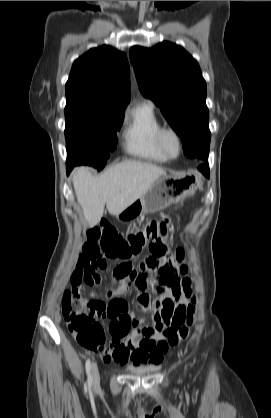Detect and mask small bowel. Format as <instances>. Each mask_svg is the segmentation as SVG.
I'll use <instances>...</instances> for the list:
<instances>
[{
    "mask_svg": "<svg viewBox=\"0 0 271 418\" xmlns=\"http://www.w3.org/2000/svg\"><path fill=\"white\" fill-rule=\"evenodd\" d=\"M148 256L130 263L119 261L113 267L112 289L104 299H83L81 307L90 314H98L97 322L105 323L110 343L96 351L105 363L131 362L135 366L159 365L168 347L159 348L164 341L161 330L165 327L162 312L188 306L190 281L179 282L176 277L177 261L167 253L166 245L153 241L147 247ZM105 267L96 265L98 270ZM156 282L158 294L151 302L148 287ZM129 283L137 290V300L142 311L155 313L152 326H142L140 319H133L134 306L127 295ZM83 288V285L80 286Z\"/></svg>",
    "mask_w": 271,
    "mask_h": 418,
    "instance_id": "1",
    "label": "small bowel"
}]
</instances>
